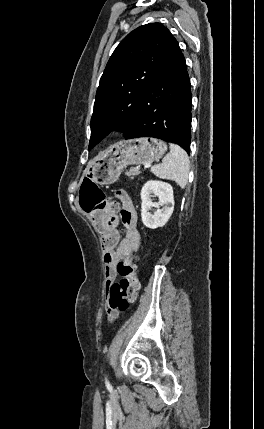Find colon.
I'll return each mask as SVG.
<instances>
[{"instance_id":"obj_1","label":"colon","mask_w":264,"mask_h":429,"mask_svg":"<svg viewBox=\"0 0 264 429\" xmlns=\"http://www.w3.org/2000/svg\"><path fill=\"white\" fill-rule=\"evenodd\" d=\"M80 205L88 213L103 211L116 213L118 206L109 201L100 187L90 180L84 181L80 188ZM119 280L108 284L107 311L119 313L126 311L136 300L139 282L136 276V257L123 258L116 267Z\"/></svg>"}]
</instances>
